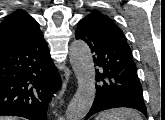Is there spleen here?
Wrapping results in <instances>:
<instances>
[{"mask_svg": "<svg viewBox=\"0 0 165 120\" xmlns=\"http://www.w3.org/2000/svg\"><path fill=\"white\" fill-rule=\"evenodd\" d=\"M96 120H142V117L133 109L117 108L101 112Z\"/></svg>", "mask_w": 165, "mask_h": 120, "instance_id": "obj_1", "label": "spleen"}]
</instances>
